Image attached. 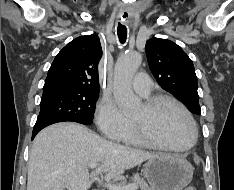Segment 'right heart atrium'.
<instances>
[{
  "label": "right heart atrium",
  "instance_id": "right-heart-atrium-1",
  "mask_svg": "<svg viewBox=\"0 0 234 190\" xmlns=\"http://www.w3.org/2000/svg\"><path fill=\"white\" fill-rule=\"evenodd\" d=\"M99 130L109 139L119 141L129 127L130 120L121 112L113 99L103 97L95 112Z\"/></svg>",
  "mask_w": 234,
  "mask_h": 190
}]
</instances>
